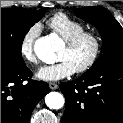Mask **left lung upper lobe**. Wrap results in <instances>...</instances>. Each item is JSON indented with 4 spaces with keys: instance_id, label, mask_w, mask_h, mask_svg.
I'll return each instance as SVG.
<instances>
[{
    "instance_id": "1",
    "label": "left lung upper lobe",
    "mask_w": 123,
    "mask_h": 123,
    "mask_svg": "<svg viewBox=\"0 0 123 123\" xmlns=\"http://www.w3.org/2000/svg\"><path fill=\"white\" fill-rule=\"evenodd\" d=\"M74 14L94 25L103 41L102 52L88 71L110 61L123 60V28L108 10L91 6L75 9Z\"/></svg>"
}]
</instances>
